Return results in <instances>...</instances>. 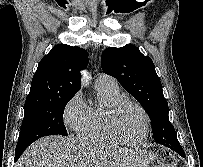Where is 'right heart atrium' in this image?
<instances>
[{
    "label": "right heart atrium",
    "instance_id": "right-heart-atrium-1",
    "mask_svg": "<svg viewBox=\"0 0 203 167\" xmlns=\"http://www.w3.org/2000/svg\"><path fill=\"white\" fill-rule=\"evenodd\" d=\"M85 104L80 93L74 94L66 103L63 110V122L72 130H78L85 114Z\"/></svg>",
    "mask_w": 203,
    "mask_h": 167
}]
</instances>
